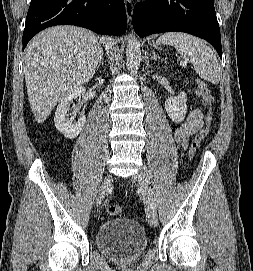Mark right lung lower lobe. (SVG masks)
I'll return each instance as SVG.
<instances>
[{
  "mask_svg": "<svg viewBox=\"0 0 253 271\" xmlns=\"http://www.w3.org/2000/svg\"><path fill=\"white\" fill-rule=\"evenodd\" d=\"M76 25L96 33L122 35L127 29L123 0H31L23 33V49L41 30Z\"/></svg>",
  "mask_w": 253,
  "mask_h": 271,
  "instance_id": "obj_1",
  "label": "right lung lower lobe"
}]
</instances>
